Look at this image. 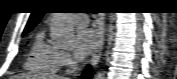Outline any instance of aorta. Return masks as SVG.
Wrapping results in <instances>:
<instances>
[{
    "label": "aorta",
    "mask_w": 177,
    "mask_h": 79,
    "mask_svg": "<svg viewBox=\"0 0 177 79\" xmlns=\"http://www.w3.org/2000/svg\"><path fill=\"white\" fill-rule=\"evenodd\" d=\"M50 33L52 43L56 47H68L72 45L74 38V28L69 22L66 13H53ZM106 71L101 69L96 74V79H105Z\"/></svg>",
    "instance_id": "762f6f07"
}]
</instances>
